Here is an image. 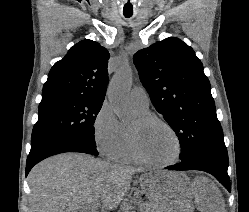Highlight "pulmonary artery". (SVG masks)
I'll return each mask as SVG.
<instances>
[{
  "label": "pulmonary artery",
  "instance_id": "obj_1",
  "mask_svg": "<svg viewBox=\"0 0 249 212\" xmlns=\"http://www.w3.org/2000/svg\"><path fill=\"white\" fill-rule=\"evenodd\" d=\"M130 101L132 106L138 110H149V97L142 86H135L131 90Z\"/></svg>",
  "mask_w": 249,
  "mask_h": 212
}]
</instances>
